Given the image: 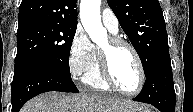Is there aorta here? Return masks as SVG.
I'll use <instances>...</instances> for the list:
<instances>
[{
	"instance_id": "aorta-1",
	"label": "aorta",
	"mask_w": 193,
	"mask_h": 112,
	"mask_svg": "<svg viewBox=\"0 0 193 112\" xmlns=\"http://www.w3.org/2000/svg\"><path fill=\"white\" fill-rule=\"evenodd\" d=\"M101 0H81L80 18L85 31L94 43H100L107 38L106 29L101 23Z\"/></svg>"
}]
</instances>
